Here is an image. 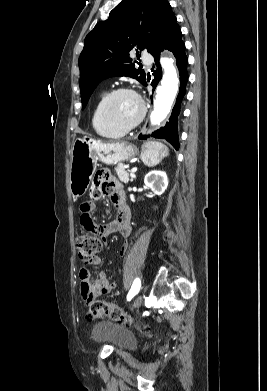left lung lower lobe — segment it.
Listing matches in <instances>:
<instances>
[{
  "label": "left lung lower lobe",
  "instance_id": "1",
  "mask_svg": "<svg viewBox=\"0 0 267 391\" xmlns=\"http://www.w3.org/2000/svg\"><path fill=\"white\" fill-rule=\"evenodd\" d=\"M164 49L173 52L176 58V64L179 69V75H180V88H179V94L176 100V104L172 110V114L169 119V122L166 123L165 127L155 131L152 134V136L154 138L166 139L169 143L173 145V147L176 150H178L179 139H178L177 122H178V115L180 112V104L183 96L186 94V83L188 80V73H187L188 59L185 54V44L182 41L181 30L178 25H176L167 35L165 40L159 45H157L151 52L152 56L155 59L154 80L151 82V85L153 87H156L158 82L162 78V70L159 63V59H160V53ZM145 85H147V82L145 83ZM139 138L146 139L147 136L140 135Z\"/></svg>",
  "mask_w": 267,
  "mask_h": 391
}]
</instances>
